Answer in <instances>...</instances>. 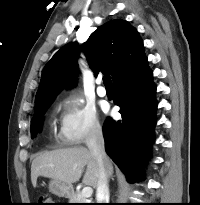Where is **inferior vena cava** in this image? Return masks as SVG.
Wrapping results in <instances>:
<instances>
[{
    "mask_svg": "<svg viewBox=\"0 0 200 205\" xmlns=\"http://www.w3.org/2000/svg\"><path fill=\"white\" fill-rule=\"evenodd\" d=\"M90 153L96 158L99 168V180L96 190L97 203H109L107 173V156L104 149V138L99 125L93 126L86 141Z\"/></svg>",
    "mask_w": 200,
    "mask_h": 205,
    "instance_id": "1",
    "label": "inferior vena cava"
}]
</instances>
